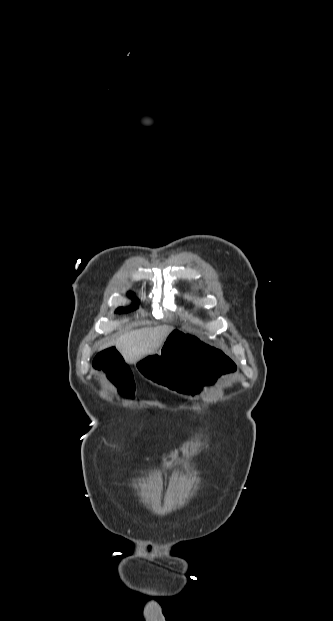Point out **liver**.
<instances>
[{
	"mask_svg": "<svg viewBox=\"0 0 333 621\" xmlns=\"http://www.w3.org/2000/svg\"><path fill=\"white\" fill-rule=\"evenodd\" d=\"M170 326H157L127 332L115 340L117 350L125 362L135 364L143 357L155 353L172 331ZM113 342H106L100 350L111 346Z\"/></svg>",
	"mask_w": 333,
	"mask_h": 621,
	"instance_id": "liver-1",
	"label": "liver"
}]
</instances>
